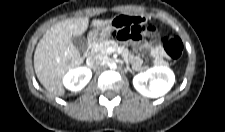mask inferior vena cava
<instances>
[{"label": "inferior vena cava", "mask_w": 225, "mask_h": 132, "mask_svg": "<svg viewBox=\"0 0 225 132\" xmlns=\"http://www.w3.org/2000/svg\"><path fill=\"white\" fill-rule=\"evenodd\" d=\"M104 61V57L100 55L90 56L87 58V65L91 68H96L103 64Z\"/></svg>", "instance_id": "obj_1"}]
</instances>
